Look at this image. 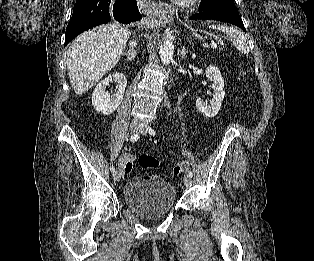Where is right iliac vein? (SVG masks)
<instances>
[{
  "mask_svg": "<svg viewBox=\"0 0 314 261\" xmlns=\"http://www.w3.org/2000/svg\"><path fill=\"white\" fill-rule=\"evenodd\" d=\"M140 126H141V125H140L139 122L133 121V122L130 124V131L133 132V133H135V132H137V131L140 129ZM113 179H114V181H116V182L120 181V179H121V174H120V172H118V171L114 172V174H113Z\"/></svg>",
  "mask_w": 314,
  "mask_h": 261,
  "instance_id": "1",
  "label": "right iliac vein"
}]
</instances>
